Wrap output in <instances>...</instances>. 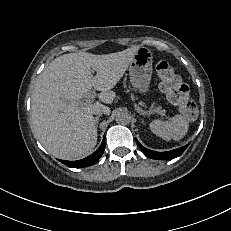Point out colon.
<instances>
[{
  "label": "colon",
  "instance_id": "obj_1",
  "mask_svg": "<svg viewBox=\"0 0 231 231\" xmlns=\"http://www.w3.org/2000/svg\"><path fill=\"white\" fill-rule=\"evenodd\" d=\"M156 72L160 81V88L168 101L176 106L182 115L192 120L197 116V105L190 96L188 86L181 80L176 67L166 61L156 65Z\"/></svg>",
  "mask_w": 231,
  "mask_h": 231
}]
</instances>
